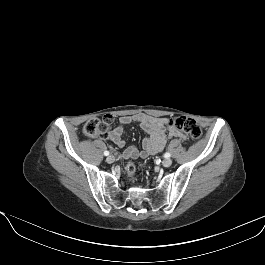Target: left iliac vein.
Wrapping results in <instances>:
<instances>
[{"label": "left iliac vein", "instance_id": "left-iliac-vein-1", "mask_svg": "<svg viewBox=\"0 0 265 265\" xmlns=\"http://www.w3.org/2000/svg\"><path fill=\"white\" fill-rule=\"evenodd\" d=\"M162 165L164 167H170L172 165V160L167 158V159H164L163 162H162Z\"/></svg>", "mask_w": 265, "mask_h": 265}]
</instances>
